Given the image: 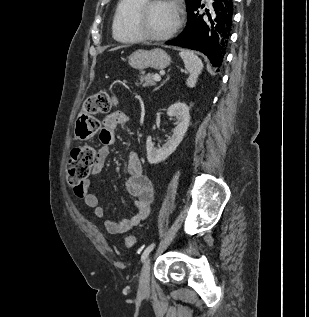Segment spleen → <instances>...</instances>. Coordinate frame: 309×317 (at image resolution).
Here are the masks:
<instances>
[{
    "instance_id": "3e777b00",
    "label": "spleen",
    "mask_w": 309,
    "mask_h": 317,
    "mask_svg": "<svg viewBox=\"0 0 309 317\" xmlns=\"http://www.w3.org/2000/svg\"><path fill=\"white\" fill-rule=\"evenodd\" d=\"M179 55L183 59L185 69L189 73L186 84L188 87H194L203 69V63L201 59L191 51H181Z\"/></svg>"
}]
</instances>
